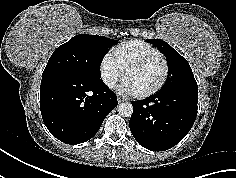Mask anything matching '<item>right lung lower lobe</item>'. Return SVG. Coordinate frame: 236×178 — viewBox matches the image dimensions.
I'll list each match as a JSON object with an SVG mask.
<instances>
[{
	"instance_id": "obj_1",
	"label": "right lung lower lobe",
	"mask_w": 236,
	"mask_h": 178,
	"mask_svg": "<svg viewBox=\"0 0 236 178\" xmlns=\"http://www.w3.org/2000/svg\"><path fill=\"white\" fill-rule=\"evenodd\" d=\"M117 104L116 95L101 79L63 73L42 75L40 109L44 124L66 144L91 139Z\"/></svg>"
}]
</instances>
